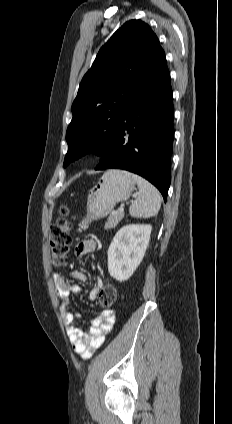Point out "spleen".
<instances>
[{"mask_svg":"<svg viewBox=\"0 0 232 424\" xmlns=\"http://www.w3.org/2000/svg\"><path fill=\"white\" fill-rule=\"evenodd\" d=\"M132 178L138 185L139 195L129 208L130 215L135 218H148L157 215L162 201L159 191L147 180L136 174H132Z\"/></svg>","mask_w":232,"mask_h":424,"instance_id":"spleen-1","label":"spleen"}]
</instances>
